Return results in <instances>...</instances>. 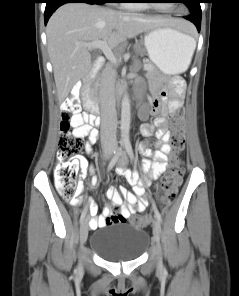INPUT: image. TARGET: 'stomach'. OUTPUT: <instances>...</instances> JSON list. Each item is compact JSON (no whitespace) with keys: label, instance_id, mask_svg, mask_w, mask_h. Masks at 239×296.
I'll return each mask as SVG.
<instances>
[{"label":"stomach","instance_id":"1","mask_svg":"<svg viewBox=\"0 0 239 296\" xmlns=\"http://www.w3.org/2000/svg\"><path fill=\"white\" fill-rule=\"evenodd\" d=\"M192 37L171 27H158L144 37V45L153 64L166 75L186 70Z\"/></svg>","mask_w":239,"mask_h":296}]
</instances>
